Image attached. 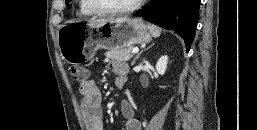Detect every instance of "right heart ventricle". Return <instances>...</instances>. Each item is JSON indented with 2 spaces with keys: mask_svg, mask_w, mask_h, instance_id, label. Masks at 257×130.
<instances>
[{
  "mask_svg": "<svg viewBox=\"0 0 257 130\" xmlns=\"http://www.w3.org/2000/svg\"><path fill=\"white\" fill-rule=\"evenodd\" d=\"M78 13L83 16H92L94 14L87 8L84 0H79L78 2Z\"/></svg>",
  "mask_w": 257,
  "mask_h": 130,
  "instance_id": "right-heart-ventricle-1",
  "label": "right heart ventricle"
}]
</instances>
